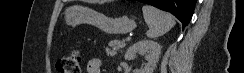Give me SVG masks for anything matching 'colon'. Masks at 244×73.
I'll return each instance as SVG.
<instances>
[{"instance_id":"1","label":"colon","mask_w":244,"mask_h":73,"mask_svg":"<svg viewBox=\"0 0 244 73\" xmlns=\"http://www.w3.org/2000/svg\"><path fill=\"white\" fill-rule=\"evenodd\" d=\"M81 54L78 50H72L57 62V70L60 73H80Z\"/></svg>"}]
</instances>
